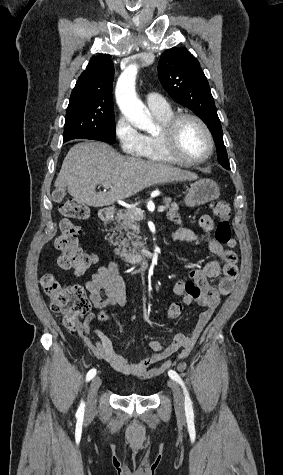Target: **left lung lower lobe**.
<instances>
[{"label": "left lung lower lobe", "mask_w": 283, "mask_h": 475, "mask_svg": "<svg viewBox=\"0 0 283 475\" xmlns=\"http://www.w3.org/2000/svg\"><path fill=\"white\" fill-rule=\"evenodd\" d=\"M213 138L217 147L218 152V162L226 169L230 170V165L228 162L227 152L225 149V145L223 142L222 135H215L213 134Z\"/></svg>", "instance_id": "0a47b994"}]
</instances>
